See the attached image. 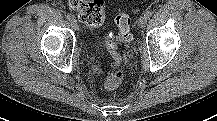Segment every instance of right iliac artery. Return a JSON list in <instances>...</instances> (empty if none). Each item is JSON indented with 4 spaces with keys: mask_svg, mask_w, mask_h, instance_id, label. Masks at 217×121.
<instances>
[{
    "mask_svg": "<svg viewBox=\"0 0 217 121\" xmlns=\"http://www.w3.org/2000/svg\"><path fill=\"white\" fill-rule=\"evenodd\" d=\"M66 17H67V19H68L69 21L75 20V17H74L72 14H70V13H68V14L66 15Z\"/></svg>",
    "mask_w": 217,
    "mask_h": 121,
    "instance_id": "right-iliac-artery-1",
    "label": "right iliac artery"
}]
</instances>
